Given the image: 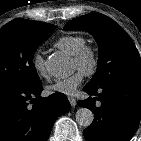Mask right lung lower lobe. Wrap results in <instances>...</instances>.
<instances>
[{
    "instance_id": "98d812e1",
    "label": "right lung lower lobe",
    "mask_w": 141,
    "mask_h": 141,
    "mask_svg": "<svg viewBox=\"0 0 141 141\" xmlns=\"http://www.w3.org/2000/svg\"><path fill=\"white\" fill-rule=\"evenodd\" d=\"M41 83L0 85V141H47L56 118L70 109L63 93L40 96Z\"/></svg>"
}]
</instances>
